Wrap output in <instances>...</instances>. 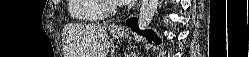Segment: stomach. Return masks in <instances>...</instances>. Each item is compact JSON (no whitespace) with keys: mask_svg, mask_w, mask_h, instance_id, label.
I'll return each mask as SVG.
<instances>
[{"mask_svg":"<svg viewBox=\"0 0 249 57\" xmlns=\"http://www.w3.org/2000/svg\"><path fill=\"white\" fill-rule=\"evenodd\" d=\"M125 31L124 30H113L111 29V35L115 38V39H123L125 37Z\"/></svg>","mask_w":249,"mask_h":57,"instance_id":"obj_1","label":"stomach"}]
</instances>
